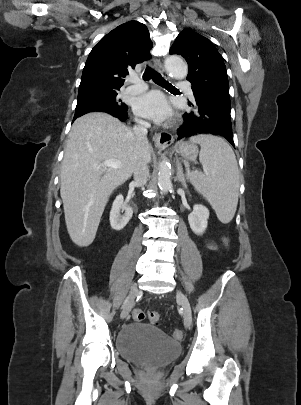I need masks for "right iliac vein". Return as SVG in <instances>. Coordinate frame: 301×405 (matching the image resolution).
Listing matches in <instances>:
<instances>
[{"instance_id": "obj_1", "label": "right iliac vein", "mask_w": 301, "mask_h": 405, "mask_svg": "<svg viewBox=\"0 0 301 405\" xmlns=\"http://www.w3.org/2000/svg\"><path fill=\"white\" fill-rule=\"evenodd\" d=\"M138 293H139L138 285L136 283H134L130 289L129 299H128L127 303L125 304L123 311L121 313L122 319L126 318L129 315V313L132 309V306H133L134 299L136 298Z\"/></svg>"}]
</instances>
